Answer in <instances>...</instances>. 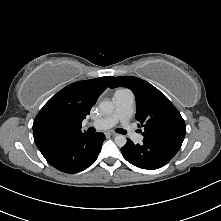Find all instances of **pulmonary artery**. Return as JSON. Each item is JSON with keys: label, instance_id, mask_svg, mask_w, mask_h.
Segmentation results:
<instances>
[{"label": "pulmonary artery", "instance_id": "obj_1", "mask_svg": "<svg viewBox=\"0 0 221 221\" xmlns=\"http://www.w3.org/2000/svg\"><path fill=\"white\" fill-rule=\"evenodd\" d=\"M134 96L129 90H119L113 95L114 111L112 114L90 121L84 124L85 127H94L98 130L111 128L120 122L122 127L127 131L130 138L140 143L143 136L135 132L130 125V118L133 112Z\"/></svg>", "mask_w": 221, "mask_h": 221}]
</instances>
